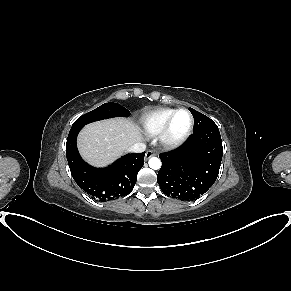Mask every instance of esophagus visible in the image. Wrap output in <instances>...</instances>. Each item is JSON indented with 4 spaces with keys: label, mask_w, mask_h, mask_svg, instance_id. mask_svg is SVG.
<instances>
[{
    "label": "esophagus",
    "mask_w": 291,
    "mask_h": 291,
    "mask_svg": "<svg viewBox=\"0 0 291 291\" xmlns=\"http://www.w3.org/2000/svg\"><path fill=\"white\" fill-rule=\"evenodd\" d=\"M155 155V152L153 150H148L146 153H145V159L148 160L150 157L154 156Z\"/></svg>",
    "instance_id": "1"
}]
</instances>
